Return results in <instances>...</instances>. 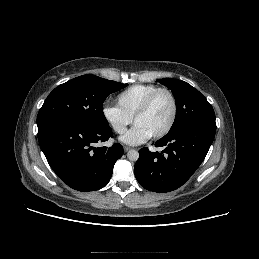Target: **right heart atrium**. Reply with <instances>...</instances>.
Instances as JSON below:
<instances>
[{"label":"right heart atrium","instance_id":"d8ad5b80","mask_svg":"<svg viewBox=\"0 0 259 259\" xmlns=\"http://www.w3.org/2000/svg\"><path fill=\"white\" fill-rule=\"evenodd\" d=\"M101 112L106 123L117 134H123L132 122V118L126 115L118 106L105 104Z\"/></svg>","mask_w":259,"mask_h":259}]
</instances>
